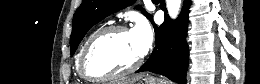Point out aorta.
I'll use <instances>...</instances> for the list:
<instances>
[{
    "instance_id": "1",
    "label": "aorta",
    "mask_w": 260,
    "mask_h": 84,
    "mask_svg": "<svg viewBox=\"0 0 260 84\" xmlns=\"http://www.w3.org/2000/svg\"><path fill=\"white\" fill-rule=\"evenodd\" d=\"M182 0H166L168 13L172 19H175L180 11Z\"/></svg>"
}]
</instances>
